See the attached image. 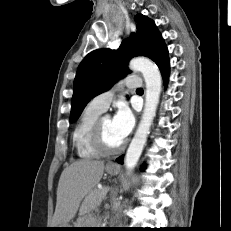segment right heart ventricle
<instances>
[{
  "label": "right heart ventricle",
  "mask_w": 231,
  "mask_h": 231,
  "mask_svg": "<svg viewBox=\"0 0 231 231\" xmlns=\"http://www.w3.org/2000/svg\"><path fill=\"white\" fill-rule=\"evenodd\" d=\"M102 112L88 105L83 111L79 121L77 122L73 135V145L78 157L81 159H95L101 156L91 141L92 129Z\"/></svg>",
  "instance_id": "obj_1"
}]
</instances>
